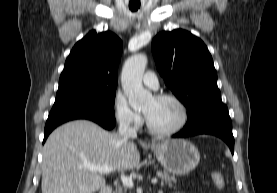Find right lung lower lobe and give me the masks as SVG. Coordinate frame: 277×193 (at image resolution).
<instances>
[{"mask_svg":"<svg viewBox=\"0 0 277 193\" xmlns=\"http://www.w3.org/2000/svg\"><path fill=\"white\" fill-rule=\"evenodd\" d=\"M74 119L92 120L108 130L112 129L116 124L115 118L101 114L89 108L76 106H53L45 125L43 143L54 128L62 123Z\"/></svg>","mask_w":277,"mask_h":193,"instance_id":"right-lung-lower-lobe-1","label":"right lung lower lobe"}]
</instances>
